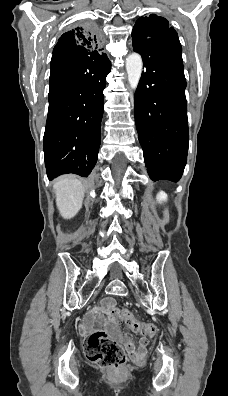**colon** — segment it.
I'll use <instances>...</instances> for the list:
<instances>
[{
  "instance_id": "obj_1",
  "label": "colon",
  "mask_w": 228,
  "mask_h": 396,
  "mask_svg": "<svg viewBox=\"0 0 228 396\" xmlns=\"http://www.w3.org/2000/svg\"><path fill=\"white\" fill-rule=\"evenodd\" d=\"M120 316L135 332L147 337H152L156 333L154 324L136 320L128 309L120 310ZM84 348L87 358L102 368L117 371L125 364L126 355L123 347L103 330L91 333L84 343Z\"/></svg>"
}]
</instances>
